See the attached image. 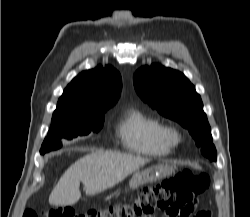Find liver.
<instances>
[{"label":"liver","mask_w":250,"mask_h":217,"mask_svg":"<svg viewBox=\"0 0 250 217\" xmlns=\"http://www.w3.org/2000/svg\"><path fill=\"white\" fill-rule=\"evenodd\" d=\"M147 162L146 158L118 152L87 154L64 172L49 196V204L73 205L81 198L80 182L87 195H95L115 186Z\"/></svg>","instance_id":"1"}]
</instances>
